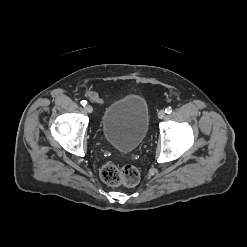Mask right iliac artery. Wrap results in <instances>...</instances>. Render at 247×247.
<instances>
[{"instance_id": "1", "label": "right iliac artery", "mask_w": 247, "mask_h": 247, "mask_svg": "<svg viewBox=\"0 0 247 247\" xmlns=\"http://www.w3.org/2000/svg\"><path fill=\"white\" fill-rule=\"evenodd\" d=\"M81 105L86 106L87 105V101L86 100H82L81 101Z\"/></svg>"}]
</instances>
